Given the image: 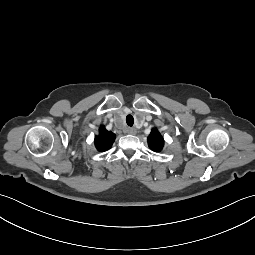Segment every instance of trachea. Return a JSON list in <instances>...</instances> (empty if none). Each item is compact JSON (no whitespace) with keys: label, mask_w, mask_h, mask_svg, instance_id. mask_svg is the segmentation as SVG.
I'll use <instances>...</instances> for the list:
<instances>
[{"label":"trachea","mask_w":255,"mask_h":255,"mask_svg":"<svg viewBox=\"0 0 255 255\" xmlns=\"http://www.w3.org/2000/svg\"><path fill=\"white\" fill-rule=\"evenodd\" d=\"M126 123L128 126H133V123H134V119H133V116L132 115H127L126 117Z\"/></svg>","instance_id":"1"}]
</instances>
